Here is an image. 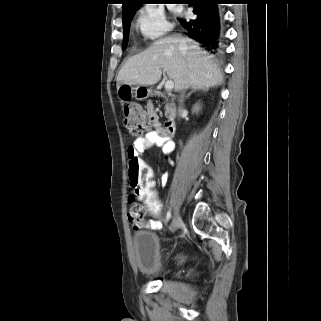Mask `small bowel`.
I'll use <instances>...</instances> for the list:
<instances>
[{
  "label": "small bowel",
  "mask_w": 321,
  "mask_h": 321,
  "mask_svg": "<svg viewBox=\"0 0 321 321\" xmlns=\"http://www.w3.org/2000/svg\"><path fill=\"white\" fill-rule=\"evenodd\" d=\"M149 110L152 111V107H149ZM153 146L161 147L165 154H170L174 149V144L170 140V138L165 134L164 130L159 127L156 123V129L146 133L143 136L137 137L133 144L128 148V157L131 155L138 156L139 154L143 153L148 148ZM151 175L152 171L150 170ZM165 176H162V181H165ZM143 201V198H139ZM162 226L160 221H149L144 222L141 224V228L157 230L160 229Z\"/></svg>",
  "instance_id": "1"
}]
</instances>
